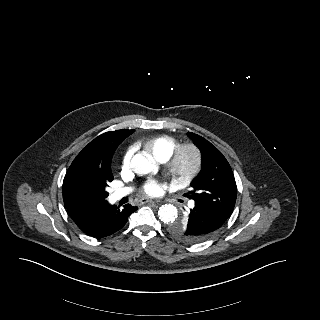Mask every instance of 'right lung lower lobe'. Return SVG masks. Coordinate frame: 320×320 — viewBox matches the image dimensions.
I'll use <instances>...</instances> for the list:
<instances>
[{
	"label": "right lung lower lobe",
	"mask_w": 320,
	"mask_h": 320,
	"mask_svg": "<svg viewBox=\"0 0 320 320\" xmlns=\"http://www.w3.org/2000/svg\"><path fill=\"white\" fill-rule=\"evenodd\" d=\"M137 209L130 204L119 209L115 205L108 204L107 201L67 208L70 217L79 229L95 238H103L122 229L128 217Z\"/></svg>",
	"instance_id": "obj_1"
}]
</instances>
